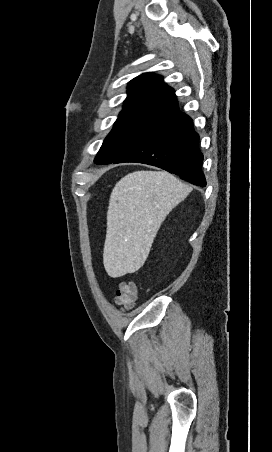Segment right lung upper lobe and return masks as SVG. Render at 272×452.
Here are the masks:
<instances>
[{
	"label": "right lung upper lobe",
	"instance_id": "right-lung-upper-lobe-1",
	"mask_svg": "<svg viewBox=\"0 0 272 452\" xmlns=\"http://www.w3.org/2000/svg\"><path fill=\"white\" fill-rule=\"evenodd\" d=\"M179 111L174 90L161 76L144 73L129 82L128 96L121 114H170Z\"/></svg>",
	"mask_w": 272,
	"mask_h": 452
}]
</instances>
